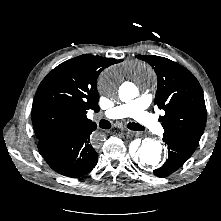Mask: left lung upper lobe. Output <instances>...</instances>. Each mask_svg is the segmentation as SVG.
Instances as JSON below:
<instances>
[{
  "instance_id": "left-lung-upper-lobe-1",
  "label": "left lung upper lobe",
  "mask_w": 221,
  "mask_h": 221,
  "mask_svg": "<svg viewBox=\"0 0 221 221\" xmlns=\"http://www.w3.org/2000/svg\"><path fill=\"white\" fill-rule=\"evenodd\" d=\"M149 63L158 79L154 104L165 110L160 117L163 137H175L198 145L207 112L202 88L195 76L178 63L154 55H138Z\"/></svg>"
}]
</instances>
